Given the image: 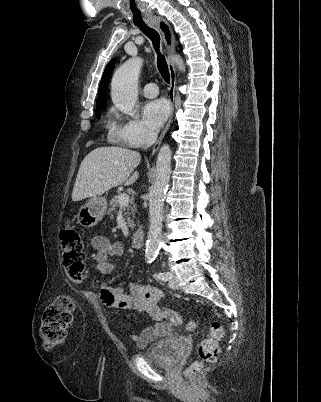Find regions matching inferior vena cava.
Returning <instances> with one entry per match:
<instances>
[{
    "instance_id": "obj_1",
    "label": "inferior vena cava",
    "mask_w": 321,
    "mask_h": 402,
    "mask_svg": "<svg viewBox=\"0 0 321 402\" xmlns=\"http://www.w3.org/2000/svg\"><path fill=\"white\" fill-rule=\"evenodd\" d=\"M157 139L156 131H149L146 136V148L152 146Z\"/></svg>"
}]
</instances>
